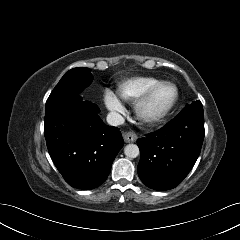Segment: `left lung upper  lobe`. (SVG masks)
<instances>
[{
	"label": "left lung upper lobe",
	"instance_id": "left-lung-upper-lobe-1",
	"mask_svg": "<svg viewBox=\"0 0 240 240\" xmlns=\"http://www.w3.org/2000/svg\"><path fill=\"white\" fill-rule=\"evenodd\" d=\"M198 102H200L199 100L198 101H194L193 103H198Z\"/></svg>",
	"mask_w": 240,
	"mask_h": 240
}]
</instances>
